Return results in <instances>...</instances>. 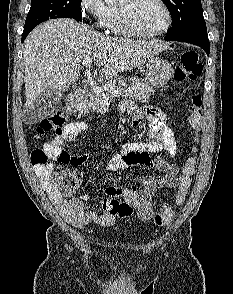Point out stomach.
I'll return each instance as SVG.
<instances>
[{"mask_svg":"<svg viewBox=\"0 0 233 294\" xmlns=\"http://www.w3.org/2000/svg\"><path fill=\"white\" fill-rule=\"evenodd\" d=\"M147 79L149 84L154 87L165 85L173 75L172 65L162 58H150L146 64Z\"/></svg>","mask_w":233,"mask_h":294,"instance_id":"stomach-1","label":"stomach"}]
</instances>
